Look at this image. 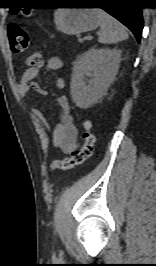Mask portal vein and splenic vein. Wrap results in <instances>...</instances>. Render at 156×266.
I'll return each mask as SVG.
<instances>
[{
    "instance_id": "1",
    "label": "portal vein and splenic vein",
    "mask_w": 156,
    "mask_h": 266,
    "mask_svg": "<svg viewBox=\"0 0 156 266\" xmlns=\"http://www.w3.org/2000/svg\"><path fill=\"white\" fill-rule=\"evenodd\" d=\"M83 40H84V39L80 38V39H79V42H83Z\"/></svg>"
}]
</instances>
